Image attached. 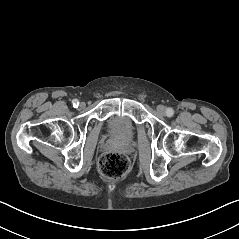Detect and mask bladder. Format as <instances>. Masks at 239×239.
<instances>
[{"instance_id":"1","label":"bladder","mask_w":239,"mask_h":239,"mask_svg":"<svg viewBox=\"0 0 239 239\" xmlns=\"http://www.w3.org/2000/svg\"><path fill=\"white\" fill-rule=\"evenodd\" d=\"M110 135L121 142H129L135 134L134 124L126 117L113 116L108 121Z\"/></svg>"}]
</instances>
